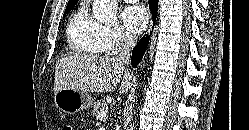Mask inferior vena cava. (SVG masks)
Masks as SVG:
<instances>
[{
	"mask_svg": "<svg viewBox=\"0 0 249 130\" xmlns=\"http://www.w3.org/2000/svg\"><path fill=\"white\" fill-rule=\"evenodd\" d=\"M136 41L133 36H127L124 38V41L122 43L121 52L119 56L117 57V61L122 65H127L130 60L131 51L133 47L135 46Z\"/></svg>",
	"mask_w": 249,
	"mask_h": 130,
	"instance_id": "602c4592",
	"label": "inferior vena cava"
}]
</instances>
